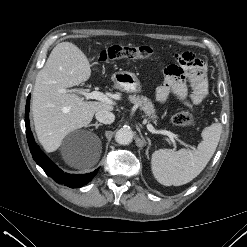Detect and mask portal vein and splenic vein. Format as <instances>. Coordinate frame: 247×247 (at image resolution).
<instances>
[{"label":"portal vein and splenic vein","mask_w":247,"mask_h":247,"mask_svg":"<svg viewBox=\"0 0 247 247\" xmlns=\"http://www.w3.org/2000/svg\"><path fill=\"white\" fill-rule=\"evenodd\" d=\"M63 92H65V90H63ZM67 92H70V93H75V94H80V95H83L87 100L88 99H96V100H99L103 103H106V104H110L112 105L113 104V101L111 99H109L104 93L102 92H99V91H92L90 93H87V92H83V91H80V90H74V89H71V90H67ZM147 129L154 133V134H162V135H166L170 138V140L173 142V144L175 143L174 139H177L178 138V135L170 132V131H167V130H156L152 124L148 123L147 124ZM187 147H190L188 145H186Z\"/></svg>","instance_id":"18ae733b"}]
</instances>
